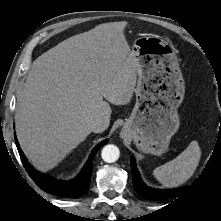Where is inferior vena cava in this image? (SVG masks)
Masks as SVG:
<instances>
[{
	"label": "inferior vena cava",
	"instance_id": "1",
	"mask_svg": "<svg viewBox=\"0 0 221 221\" xmlns=\"http://www.w3.org/2000/svg\"><path fill=\"white\" fill-rule=\"evenodd\" d=\"M108 125H109L108 121L102 118H98L91 122L90 128H91V131L94 133H101L105 129H107Z\"/></svg>",
	"mask_w": 221,
	"mask_h": 221
}]
</instances>
